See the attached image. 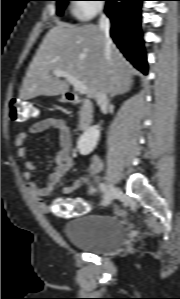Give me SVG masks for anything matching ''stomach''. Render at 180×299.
Here are the masks:
<instances>
[{
  "mask_svg": "<svg viewBox=\"0 0 180 299\" xmlns=\"http://www.w3.org/2000/svg\"><path fill=\"white\" fill-rule=\"evenodd\" d=\"M60 101H61V102L65 101V98H64V97H62V98L60 99Z\"/></svg>",
  "mask_w": 180,
  "mask_h": 299,
  "instance_id": "obj_1",
  "label": "stomach"
}]
</instances>
